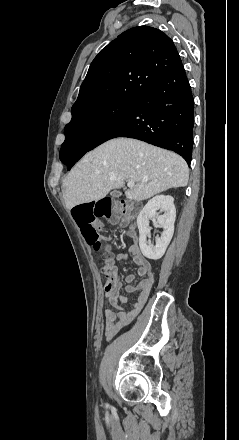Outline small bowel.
<instances>
[{"mask_svg":"<svg viewBox=\"0 0 239 440\" xmlns=\"http://www.w3.org/2000/svg\"><path fill=\"white\" fill-rule=\"evenodd\" d=\"M129 257L138 266V271L136 274L126 277L125 291L129 294H136V300L131 304L129 310L123 311L121 305L125 304L127 299L120 294L122 284L118 279V275L116 273L114 277L107 278L105 298L112 307V309L104 311V332L108 338L118 333L138 315L147 301L154 282L152 266L142 255L137 245L130 246L127 253L117 254L116 260L122 262L126 261ZM135 282L137 283L134 284ZM115 310H118V312Z\"/></svg>","mask_w":239,"mask_h":440,"instance_id":"obj_1","label":"small bowel"}]
</instances>
